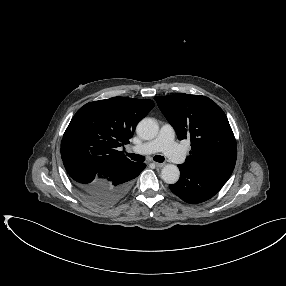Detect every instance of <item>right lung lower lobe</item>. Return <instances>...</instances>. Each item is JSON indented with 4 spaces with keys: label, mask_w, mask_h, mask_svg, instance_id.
<instances>
[{
    "label": "right lung lower lobe",
    "mask_w": 286,
    "mask_h": 286,
    "mask_svg": "<svg viewBox=\"0 0 286 286\" xmlns=\"http://www.w3.org/2000/svg\"><path fill=\"white\" fill-rule=\"evenodd\" d=\"M61 156L77 190L88 201L101 206L122 199L129 192L132 180L146 167L144 163L133 162L105 172L82 146L72 141L61 143Z\"/></svg>",
    "instance_id": "98d812e1"
}]
</instances>
